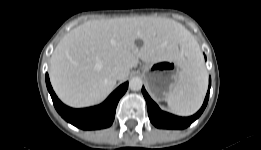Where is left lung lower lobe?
Returning a JSON list of instances; mask_svg holds the SVG:
<instances>
[{
	"label": "left lung lower lobe",
	"mask_w": 261,
	"mask_h": 150,
	"mask_svg": "<svg viewBox=\"0 0 261 150\" xmlns=\"http://www.w3.org/2000/svg\"><path fill=\"white\" fill-rule=\"evenodd\" d=\"M210 87H211V79H209V89H208L206 98L204 100L203 106L195 115L190 116V117H178V116L169 114L167 112H163L162 110H160V108L157 106V104L150 98V96L146 92L145 88L143 87L142 93L147 102L148 115H149L150 121L157 128L184 129V128L188 127L204 111V109L207 105V102H208Z\"/></svg>",
	"instance_id": "obj_1"
}]
</instances>
